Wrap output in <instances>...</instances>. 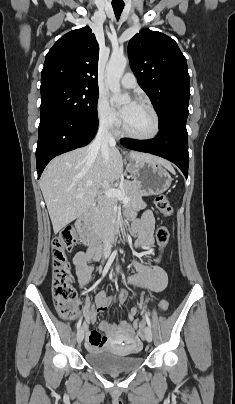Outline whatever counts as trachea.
<instances>
[{"label": "trachea", "mask_w": 235, "mask_h": 404, "mask_svg": "<svg viewBox=\"0 0 235 404\" xmlns=\"http://www.w3.org/2000/svg\"><path fill=\"white\" fill-rule=\"evenodd\" d=\"M112 7H113L116 18L119 19L120 15L123 11L124 4H112Z\"/></svg>", "instance_id": "trachea-1"}]
</instances>
